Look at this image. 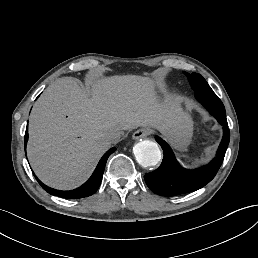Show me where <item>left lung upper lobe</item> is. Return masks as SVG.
<instances>
[{
    "label": "left lung upper lobe",
    "instance_id": "5c2ea615",
    "mask_svg": "<svg viewBox=\"0 0 258 258\" xmlns=\"http://www.w3.org/2000/svg\"><path fill=\"white\" fill-rule=\"evenodd\" d=\"M185 74L188 77V80L192 88H194V86L198 84H203V85L207 84L206 80L198 73L189 74L185 72Z\"/></svg>",
    "mask_w": 258,
    "mask_h": 258
}]
</instances>
